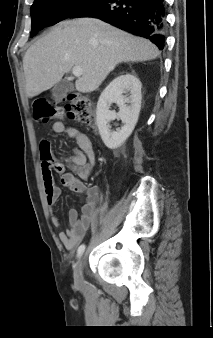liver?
Masks as SVG:
<instances>
[{
	"label": "liver",
	"instance_id": "obj_1",
	"mask_svg": "<svg viewBox=\"0 0 213 338\" xmlns=\"http://www.w3.org/2000/svg\"><path fill=\"white\" fill-rule=\"evenodd\" d=\"M159 55V49L150 41L99 19L63 21L26 51V94L32 98L50 89L76 66L82 69L76 90L90 93L119 63L149 61Z\"/></svg>",
	"mask_w": 213,
	"mask_h": 338
}]
</instances>
